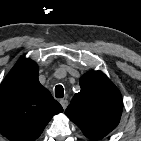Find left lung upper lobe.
<instances>
[{
    "instance_id": "1",
    "label": "left lung upper lobe",
    "mask_w": 141,
    "mask_h": 141,
    "mask_svg": "<svg viewBox=\"0 0 141 141\" xmlns=\"http://www.w3.org/2000/svg\"><path fill=\"white\" fill-rule=\"evenodd\" d=\"M65 114L91 140L104 138L116 128L123 110L117 87L101 72L85 73Z\"/></svg>"
}]
</instances>
